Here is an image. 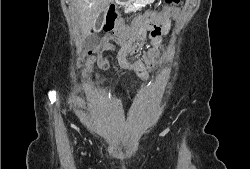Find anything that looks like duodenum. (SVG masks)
Wrapping results in <instances>:
<instances>
[{
  "instance_id": "obj_1",
  "label": "duodenum",
  "mask_w": 250,
  "mask_h": 169,
  "mask_svg": "<svg viewBox=\"0 0 250 169\" xmlns=\"http://www.w3.org/2000/svg\"><path fill=\"white\" fill-rule=\"evenodd\" d=\"M106 57H99V60H103V59H105Z\"/></svg>"
}]
</instances>
